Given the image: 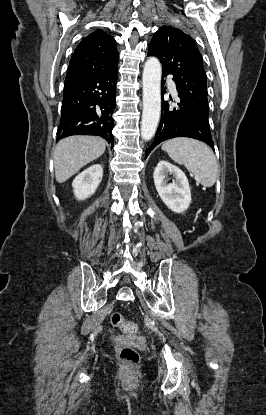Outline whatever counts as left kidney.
I'll list each match as a JSON object with an SVG mask.
<instances>
[{"label":"left kidney","instance_id":"left-kidney-1","mask_svg":"<svg viewBox=\"0 0 266 415\" xmlns=\"http://www.w3.org/2000/svg\"><path fill=\"white\" fill-rule=\"evenodd\" d=\"M168 175H173L168 183ZM154 184L164 204L175 213H183L191 202V190L185 173L167 161H160L154 170Z\"/></svg>","mask_w":266,"mask_h":415}]
</instances>
